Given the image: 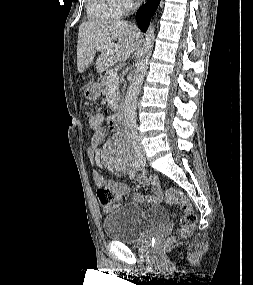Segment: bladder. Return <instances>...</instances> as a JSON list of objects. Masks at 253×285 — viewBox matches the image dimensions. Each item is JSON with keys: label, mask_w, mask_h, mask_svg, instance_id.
<instances>
[{"label": "bladder", "mask_w": 253, "mask_h": 285, "mask_svg": "<svg viewBox=\"0 0 253 285\" xmlns=\"http://www.w3.org/2000/svg\"><path fill=\"white\" fill-rule=\"evenodd\" d=\"M167 220V211L161 206H145L138 202L118 204L105 216L103 233L109 240L133 243Z\"/></svg>", "instance_id": "1"}]
</instances>
